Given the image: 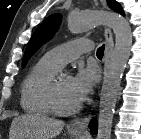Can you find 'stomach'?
<instances>
[{
  "label": "stomach",
  "instance_id": "stomach-1",
  "mask_svg": "<svg viewBox=\"0 0 141 139\" xmlns=\"http://www.w3.org/2000/svg\"><path fill=\"white\" fill-rule=\"evenodd\" d=\"M74 135H76V136H78L79 135V133H73Z\"/></svg>",
  "mask_w": 141,
  "mask_h": 139
}]
</instances>
